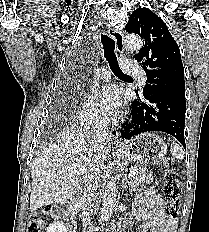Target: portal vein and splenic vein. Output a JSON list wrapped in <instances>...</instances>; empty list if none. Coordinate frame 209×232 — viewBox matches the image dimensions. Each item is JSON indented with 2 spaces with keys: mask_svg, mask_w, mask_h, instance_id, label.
Returning <instances> with one entry per match:
<instances>
[{
  "mask_svg": "<svg viewBox=\"0 0 209 232\" xmlns=\"http://www.w3.org/2000/svg\"><path fill=\"white\" fill-rule=\"evenodd\" d=\"M134 174H135V172L130 170L129 177L133 176Z\"/></svg>",
  "mask_w": 209,
  "mask_h": 232,
  "instance_id": "portal-vein-and-splenic-vein-1",
  "label": "portal vein and splenic vein"
}]
</instances>
